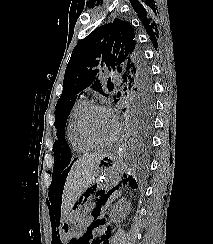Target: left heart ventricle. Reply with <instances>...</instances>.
Segmentation results:
<instances>
[{
    "label": "left heart ventricle",
    "instance_id": "b2bd125f",
    "mask_svg": "<svg viewBox=\"0 0 213 244\" xmlns=\"http://www.w3.org/2000/svg\"><path fill=\"white\" fill-rule=\"evenodd\" d=\"M87 129L95 140L107 141L115 132V122L108 112L95 110L88 118Z\"/></svg>",
    "mask_w": 213,
    "mask_h": 244
}]
</instances>
